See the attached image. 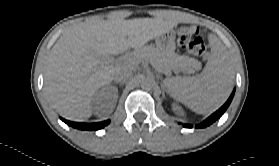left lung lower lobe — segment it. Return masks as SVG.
<instances>
[{
	"mask_svg": "<svg viewBox=\"0 0 279 166\" xmlns=\"http://www.w3.org/2000/svg\"><path fill=\"white\" fill-rule=\"evenodd\" d=\"M235 93V89L232 92L231 96L229 97V99L227 100V102L219 109L217 110L215 113H213L210 117H208L205 121H203L201 124L196 125V128H204L207 127L209 125H211L213 122H215L218 118L221 117V115H223V113L225 112V110L228 108V106L230 105L233 96ZM186 128H192V125H187L184 124L183 125Z\"/></svg>",
	"mask_w": 279,
	"mask_h": 166,
	"instance_id": "0a47b994",
	"label": "left lung lower lobe"
}]
</instances>
